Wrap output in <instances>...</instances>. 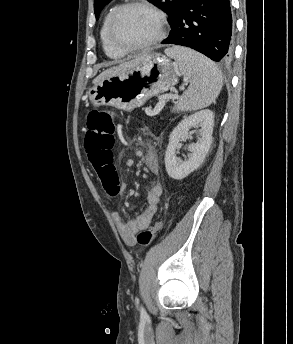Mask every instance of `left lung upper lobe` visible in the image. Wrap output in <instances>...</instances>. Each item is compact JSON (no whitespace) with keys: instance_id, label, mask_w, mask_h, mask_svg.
Listing matches in <instances>:
<instances>
[{"instance_id":"5c2ea615","label":"left lung upper lobe","mask_w":293,"mask_h":344,"mask_svg":"<svg viewBox=\"0 0 293 344\" xmlns=\"http://www.w3.org/2000/svg\"><path fill=\"white\" fill-rule=\"evenodd\" d=\"M110 1L111 0H94V11H95L96 18L99 17L101 10ZM148 1L168 14L169 16L168 22L171 26L181 0H148Z\"/></svg>"}]
</instances>
